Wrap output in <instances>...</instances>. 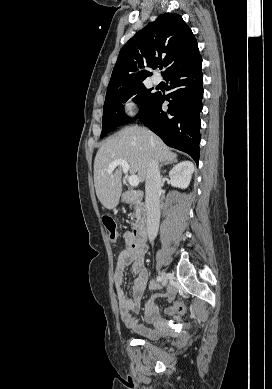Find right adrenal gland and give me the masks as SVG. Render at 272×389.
Wrapping results in <instances>:
<instances>
[{
	"label": "right adrenal gland",
	"instance_id": "obj_1",
	"mask_svg": "<svg viewBox=\"0 0 272 389\" xmlns=\"http://www.w3.org/2000/svg\"><path fill=\"white\" fill-rule=\"evenodd\" d=\"M170 163H171V162H170ZM170 163H163V164L160 165V168H162L164 165H168V164H170Z\"/></svg>",
	"mask_w": 272,
	"mask_h": 389
}]
</instances>
